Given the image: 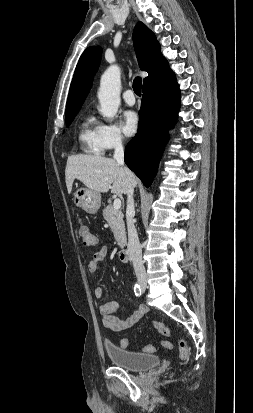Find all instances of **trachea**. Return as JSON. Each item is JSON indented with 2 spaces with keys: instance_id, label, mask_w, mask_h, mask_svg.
Wrapping results in <instances>:
<instances>
[{
  "instance_id": "trachea-1",
  "label": "trachea",
  "mask_w": 253,
  "mask_h": 413,
  "mask_svg": "<svg viewBox=\"0 0 253 413\" xmlns=\"http://www.w3.org/2000/svg\"><path fill=\"white\" fill-rule=\"evenodd\" d=\"M141 88H142V79L140 77H136L133 81V90L138 96H141Z\"/></svg>"
}]
</instances>
